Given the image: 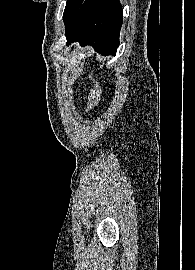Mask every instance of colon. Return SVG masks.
<instances>
[{
  "label": "colon",
  "mask_w": 195,
  "mask_h": 270,
  "mask_svg": "<svg viewBox=\"0 0 195 270\" xmlns=\"http://www.w3.org/2000/svg\"><path fill=\"white\" fill-rule=\"evenodd\" d=\"M90 80L92 82V87L88 98V105H87L88 112H92L94 109H96L101 98V88L99 83L93 78H90Z\"/></svg>",
  "instance_id": "5ec220e1"
}]
</instances>
